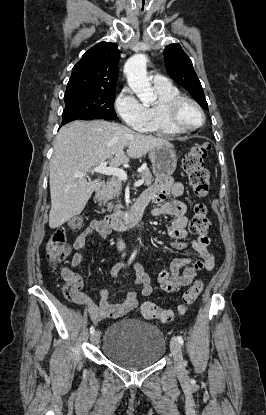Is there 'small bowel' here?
<instances>
[{
	"label": "small bowel",
	"instance_id": "obj_1",
	"mask_svg": "<svg viewBox=\"0 0 266 415\" xmlns=\"http://www.w3.org/2000/svg\"><path fill=\"white\" fill-rule=\"evenodd\" d=\"M183 192L184 186L181 182H175L171 177H163L145 190L138 198L146 206L150 203H161V205L152 210L154 216L170 215L173 217V221L169 225L167 232L174 239L172 243L174 249L184 250L191 247L198 254V258L196 259L186 257L175 260L170 269L163 270L159 274L158 282L161 289L167 294L180 292L183 287L191 284L195 280L200 271H210L214 267V257L209 250L210 239L207 235L199 236L197 239L185 240L187 237L186 227L188 223L186 204L179 200L163 202L166 196L179 197ZM109 232L110 229L105 226L103 221H92L76 237L73 243V248L76 250V253L71 258V267L74 268L86 261V241L90 235L97 233L102 238H106ZM130 264L131 262L128 263V266ZM123 267V263L116 264L111 269V275L118 277ZM132 267L136 275L135 283L140 287L141 294L144 296L150 295L152 293V286L149 275L138 263L133 264ZM64 270L73 275L77 287V294L72 301L83 306L94 323H98L104 319H119L138 306L136 291L128 292L121 302L111 303L106 290L99 292V304L96 305L89 296L80 291L82 287L81 276L74 273L71 269Z\"/></svg>",
	"mask_w": 266,
	"mask_h": 415
}]
</instances>
